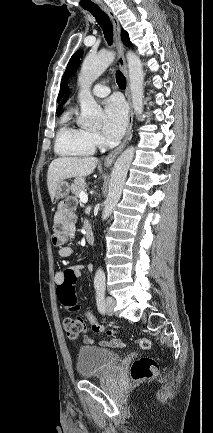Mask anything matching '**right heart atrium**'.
Listing matches in <instances>:
<instances>
[{
    "mask_svg": "<svg viewBox=\"0 0 213 433\" xmlns=\"http://www.w3.org/2000/svg\"><path fill=\"white\" fill-rule=\"evenodd\" d=\"M92 137H93L95 143H100L102 141V138L98 133H92Z\"/></svg>",
    "mask_w": 213,
    "mask_h": 433,
    "instance_id": "d8ad5b80",
    "label": "right heart atrium"
}]
</instances>
